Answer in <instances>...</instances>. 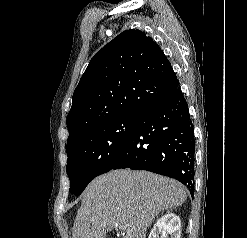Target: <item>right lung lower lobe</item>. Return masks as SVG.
Returning <instances> with one entry per match:
<instances>
[{
    "label": "right lung lower lobe",
    "instance_id": "1",
    "mask_svg": "<svg viewBox=\"0 0 247 238\" xmlns=\"http://www.w3.org/2000/svg\"><path fill=\"white\" fill-rule=\"evenodd\" d=\"M194 153L193 125L178 85L167 98L140 114L111 169L131 168L168 176L180 181L192 193Z\"/></svg>",
    "mask_w": 247,
    "mask_h": 238
}]
</instances>
